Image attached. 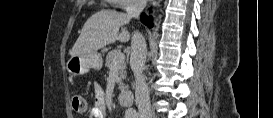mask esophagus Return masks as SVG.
Instances as JSON below:
<instances>
[{"instance_id":"esophagus-1","label":"esophagus","mask_w":273,"mask_h":118,"mask_svg":"<svg viewBox=\"0 0 273 118\" xmlns=\"http://www.w3.org/2000/svg\"><path fill=\"white\" fill-rule=\"evenodd\" d=\"M160 3H161V1H157V2L154 3V5L158 6V5H160Z\"/></svg>"}]
</instances>
